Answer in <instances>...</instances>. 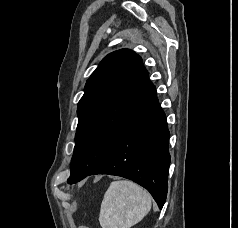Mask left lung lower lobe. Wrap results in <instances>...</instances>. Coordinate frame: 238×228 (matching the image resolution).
Masks as SVG:
<instances>
[{"label":"left lung lower lobe","instance_id":"1","mask_svg":"<svg viewBox=\"0 0 238 228\" xmlns=\"http://www.w3.org/2000/svg\"><path fill=\"white\" fill-rule=\"evenodd\" d=\"M170 133L166 116L149 85L139 104L120 129L109 153L92 171L69 177L73 184L94 174L128 178L146 188L163 207L167 195Z\"/></svg>","mask_w":238,"mask_h":228}]
</instances>
